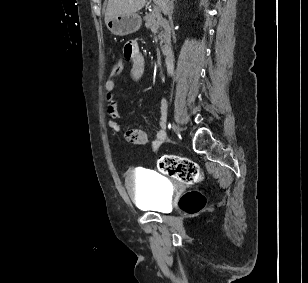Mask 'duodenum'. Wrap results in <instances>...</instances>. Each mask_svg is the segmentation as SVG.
I'll return each mask as SVG.
<instances>
[{"mask_svg":"<svg viewBox=\"0 0 308 283\" xmlns=\"http://www.w3.org/2000/svg\"><path fill=\"white\" fill-rule=\"evenodd\" d=\"M164 64L168 73H172L174 71V54L172 52H167L165 54Z\"/></svg>","mask_w":308,"mask_h":283,"instance_id":"duodenum-1","label":"duodenum"}]
</instances>
